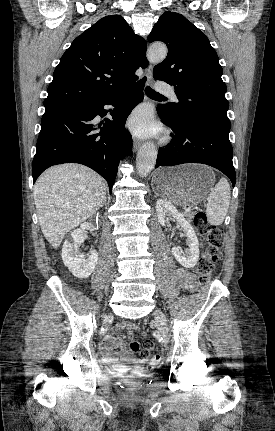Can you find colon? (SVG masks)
<instances>
[{"instance_id":"5ec220e1","label":"colon","mask_w":275,"mask_h":431,"mask_svg":"<svg viewBox=\"0 0 275 431\" xmlns=\"http://www.w3.org/2000/svg\"><path fill=\"white\" fill-rule=\"evenodd\" d=\"M194 225L200 234L205 236L208 240V246L200 258L196 274L201 284H206L215 271L216 265L221 258V249L224 243L223 231L215 225L208 222L207 216L204 212H198L194 216ZM129 347L134 353H137L140 361H147L150 359L151 352L154 344L150 340H146L142 347L135 339L134 334L129 333ZM153 361H158L159 356H153Z\"/></svg>"}]
</instances>
